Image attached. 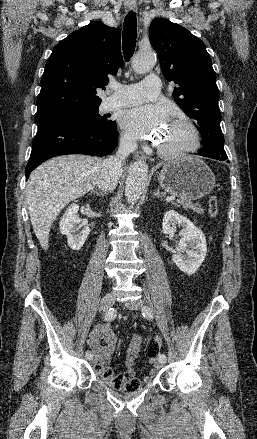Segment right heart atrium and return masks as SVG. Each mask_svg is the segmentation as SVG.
Returning a JSON list of instances; mask_svg holds the SVG:
<instances>
[{
	"label": "right heart atrium",
	"mask_w": 257,
	"mask_h": 439,
	"mask_svg": "<svg viewBox=\"0 0 257 439\" xmlns=\"http://www.w3.org/2000/svg\"><path fill=\"white\" fill-rule=\"evenodd\" d=\"M121 142L126 149H131L133 147V140L127 134L122 135Z\"/></svg>",
	"instance_id": "d8ad5b80"
}]
</instances>
